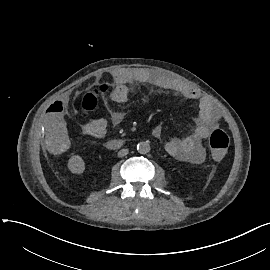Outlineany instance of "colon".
Instances as JSON below:
<instances>
[{"label":"colon","mask_w":270,"mask_h":270,"mask_svg":"<svg viewBox=\"0 0 270 270\" xmlns=\"http://www.w3.org/2000/svg\"><path fill=\"white\" fill-rule=\"evenodd\" d=\"M109 92V84L102 83L92 90L80 91L75 94L73 101L79 108L81 115L91 116L99 105V96ZM230 144V136L227 130L217 128L209 136V146L213 153V158L217 162H222L226 158L225 151Z\"/></svg>","instance_id":"obj_1"}]
</instances>
